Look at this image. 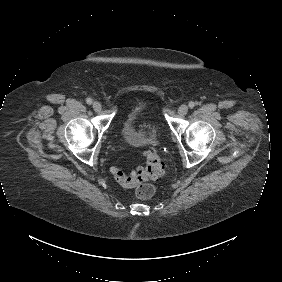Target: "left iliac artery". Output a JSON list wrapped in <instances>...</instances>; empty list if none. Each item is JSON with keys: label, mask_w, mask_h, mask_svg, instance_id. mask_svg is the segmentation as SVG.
Masks as SVG:
<instances>
[{"label": "left iliac artery", "mask_w": 282, "mask_h": 282, "mask_svg": "<svg viewBox=\"0 0 282 282\" xmlns=\"http://www.w3.org/2000/svg\"><path fill=\"white\" fill-rule=\"evenodd\" d=\"M194 106H195V103H194V102H192V101L189 102V107H190V108H193Z\"/></svg>", "instance_id": "44dca946"}]
</instances>
